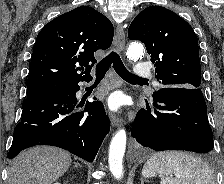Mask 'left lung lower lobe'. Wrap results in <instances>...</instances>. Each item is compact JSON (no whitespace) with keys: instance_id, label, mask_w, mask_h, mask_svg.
<instances>
[{"instance_id":"left-lung-lower-lobe-1","label":"left lung lower lobe","mask_w":224,"mask_h":184,"mask_svg":"<svg viewBox=\"0 0 224 184\" xmlns=\"http://www.w3.org/2000/svg\"><path fill=\"white\" fill-rule=\"evenodd\" d=\"M154 111L141 109L132 137L155 151L208 153L214 147L207 107L200 88L164 87L153 94Z\"/></svg>"}]
</instances>
